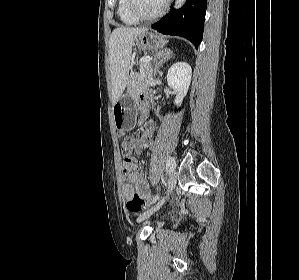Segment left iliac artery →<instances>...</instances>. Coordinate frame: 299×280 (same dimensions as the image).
Masks as SVG:
<instances>
[{"label": "left iliac artery", "instance_id": "left-iliac-artery-1", "mask_svg": "<svg viewBox=\"0 0 299 280\" xmlns=\"http://www.w3.org/2000/svg\"><path fill=\"white\" fill-rule=\"evenodd\" d=\"M176 166V162L175 159L173 157H169V159L167 160V164H166V170L167 172H171L173 171V169ZM159 198V196H155L152 200V203L155 202L157 199Z\"/></svg>", "mask_w": 299, "mask_h": 280}]
</instances>
